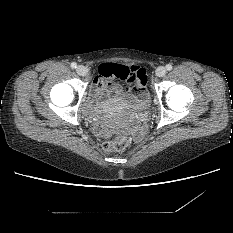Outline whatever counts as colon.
<instances>
[{
	"instance_id": "1",
	"label": "colon",
	"mask_w": 233,
	"mask_h": 233,
	"mask_svg": "<svg viewBox=\"0 0 233 233\" xmlns=\"http://www.w3.org/2000/svg\"><path fill=\"white\" fill-rule=\"evenodd\" d=\"M114 73H115V77L122 79V80L129 79L135 85H137L136 79L131 78L128 74V71L124 67H117ZM131 144H132L131 136L126 132H121L115 135L113 139L105 142L103 144V149L107 153H116L118 151H121V150H124L130 147Z\"/></svg>"
}]
</instances>
